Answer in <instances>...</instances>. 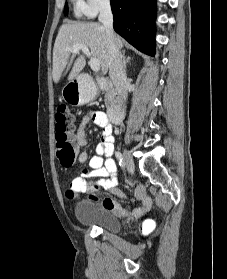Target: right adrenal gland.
<instances>
[{
  "label": "right adrenal gland",
  "mask_w": 227,
  "mask_h": 279,
  "mask_svg": "<svg viewBox=\"0 0 227 279\" xmlns=\"http://www.w3.org/2000/svg\"><path fill=\"white\" fill-rule=\"evenodd\" d=\"M122 58H123V65H124V68L126 70V65H127V63H129L131 61V57H126L125 56V50H123Z\"/></svg>",
  "instance_id": "right-adrenal-gland-1"
}]
</instances>
